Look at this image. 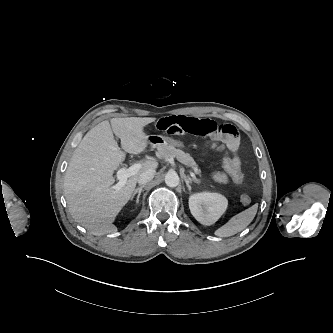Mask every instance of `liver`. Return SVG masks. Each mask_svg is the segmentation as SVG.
I'll return each instance as SVG.
<instances>
[{"instance_id": "1", "label": "liver", "mask_w": 333, "mask_h": 333, "mask_svg": "<svg viewBox=\"0 0 333 333\" xmlns=\"http://www.w3.org/2000/svg\"><path fill=\"white\" fill-rule=\"evenodd\" d=\"M156 118H112L90 129L75 149L64 176V195L73 219L91 234L115 233V217L129 201L140 174L156 170L154 159L141 162V169L116 190L113 172L125 159V152L140 154L149 139L144 127ZM113 133L121 139V151Z\"/></svg>"}]
</instances>
